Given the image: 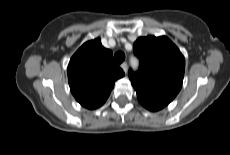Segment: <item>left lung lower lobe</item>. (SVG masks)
I'll list each match as a JSON object with an SVG mask.
<instances>
[{
	"label": "left lung lower lobe",
	"instance_id": "left-lung-lower-lobe-1",
	"mask_svg": "<svg viewBox=\"0 0 230 155\" xmlns=\"http://www.w3.org/2000/svg\"><path fill=\"white\" fill-rule=\"evenodd\" d=\"M141 105L150 111H158V110L162 109L161 107H159L157 105L148 104V103H141Z\"/></svg>",
	"mask_w": 230,
	"mask_h": 155
}]
</instances>
